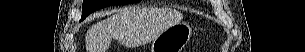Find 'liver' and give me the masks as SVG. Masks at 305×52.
<instances>
[{
    "label": "liver",
    "instance_id": "liver-1",
    "mask_svg": "<svg viewBox=\"0 0 305 52\" xmlns=\"http://www.w3.org/2000/svg\"><path fill=\"white\" fill-rule=\"evenodd\" d=\"M147 14L140 10H124L116 13L107 19L92 25L86 34L87 52H106L110 47L112 39L120 41H137L146 38L149 30L146 29ZM182 15L176 11L164 14L155 27L151 39L154 40L161 32L179 23ZM148 28V27H147Z\"/></svg>",
    "mask_w": 305,
    "mask_h": 52
}]
</instances>
